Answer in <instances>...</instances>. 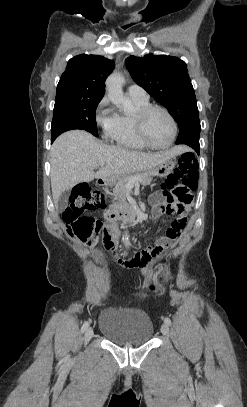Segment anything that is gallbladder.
I'll return each mask as SVG.
<instances>
[{
    "mask_svg": "<svg viewBox=\"0 0 247 407\" xmlns=\"http://www.w3.org/2000/svg\"><path fill=\"white\" fill-rule=\"evenodd\" d=\"M68 197H69V191H65L61 194L58 203H57V208L59 211H63L67 208L68 206Z\"/></svg>",
    "mask_w": 247,
    "mask_h": 407,
    "instance_id": "gallbladder-1",
    "label": "gallbladder"
}]
</instances>
